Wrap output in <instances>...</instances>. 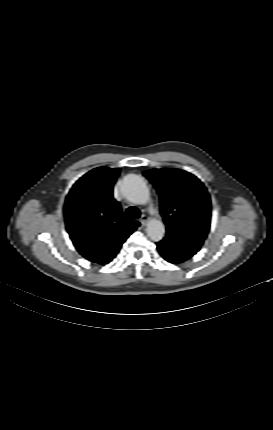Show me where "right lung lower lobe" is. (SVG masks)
<instances>
[{
    "label": "right lung lower lobe",
    "mask_w": 273,
    "mask_h": 430,
    "mask_svg": "<svg viewBox=\"0 0 273 430\" xmlns=\"http://www.w3.org/2000/svg\"><path fill=\"white\" fill-rule=\"evenodd\" d=\"M118 251H119V250H118ZM116 253H117V252H116ZM115 255H116V254H115ZM115 255H114V256H115ZM114 256H112V257L110 258V260H108V261H107V262H105V263L110 262Z\"/></svg>",
    "instance_id": "right-lung-lower-lobe-1"
}]
</instances>
